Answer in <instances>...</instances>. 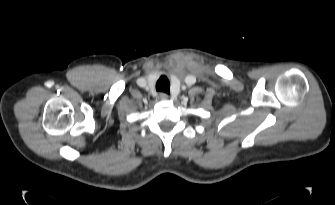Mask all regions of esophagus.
Masks as SVG:
<instances>
[{
	"instance_id": "34e87169",
	"label": "esophagus",
	"mask_w": 335,
	"mask_h": 205,
	"mask_svg": "<svg viewBox=\"0 0 335 205\" xmlns=\"http://www.w3.org/2000/svg\"><path fill=\"white\" fill-rule=\"evenodd\" d=\"M159 97L163 101H166L169 98V96L166 93H160Z\"/></svg>"
}]
</instances>
